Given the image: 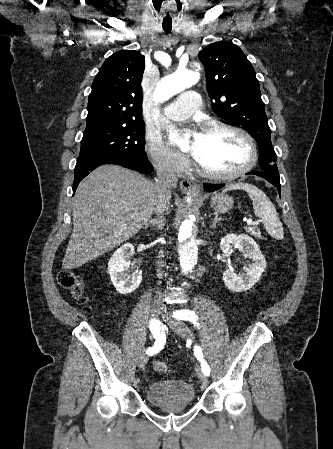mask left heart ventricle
<instances>
[{
    "label": "left heart ventricle",
    "mask_w": 333,
    "mask_h": 449,
    "mask_svg": "<svg viewBox=\"0 0 333 449\" xmlns=\"http://www.w3.org/2000/svg\"><path fill=\"white\" fill-rule=\"evenodd\" d=\"M190 150L194 158L214 173H229L241 168L249 158L247 143L226 131L203 132L198 145Z\"/></svg>",
    "instance_id": "b2bd125f"
}]
</instances>
